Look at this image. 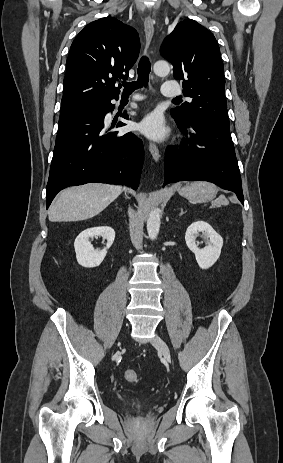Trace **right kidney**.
Returning a JSON list of instances; mask_svg holds the SVG:
<instances>
[{
  "mask_svg": "<svg viewBox=\"0 0 283 463\" xmlns=\"http://www.w3.org/2000/svg\"><path fill=\"white\" fill-rule=\"evenodd\" d=\"M94 236H101L107 241L106 247L103 250H94L89 241ZM114 239L115 231L108 226L93 227L82 231L74 242L77 262L86 268L99 266L107 254V249L113 244Z\"/></svg>",
  "mask_w": 283,
  "mask_h": 463,
  "instance_id": "1",
  "label": "right kidney"
}]
</instances>
